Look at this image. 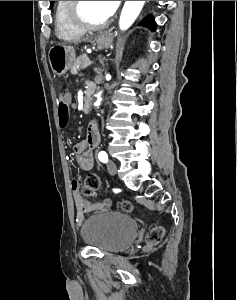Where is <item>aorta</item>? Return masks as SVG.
I'll list each match as a JSON object with an SVG mask.
<instances>
[{
  "instance_id": "aorta-1",
  "label": "aorta",
  "mask_w": 237,
  "mask_h": 300,
  "mask_svg": "<svg viewBox=\"0 0 237 300\" xmlns=\"http://www.w3.org/2000/svg\"><path fill=\"white\" fill-rule=\"evenodd\" d=\"M145 1H126L120 15L119 27L121 31H126L134 21H136ZM101 93L97 95V101L94 103V107L101 105Z\"/></svg>"
}]
</instances>
